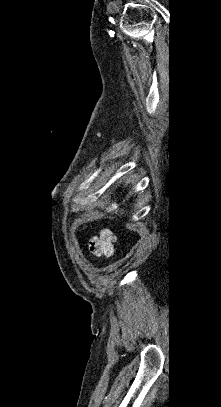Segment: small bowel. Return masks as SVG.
<instances>
[{
  "instance_id": "obj_1",
  "label": "small bowel",
  "mask_w": 221,
  "mask_h": 407,
  "mask_svg": "<svg viewBox=\"0 0 221 407\" xmlns=\"http://www.w3.org/2000/svg\"><path fill=\"white\" fill-rule=\"evenodd\" d=\"M115 234L109 229H103L89 240V250L95 257H110L113 254Z\"/></svg>"
}]
</instances>
